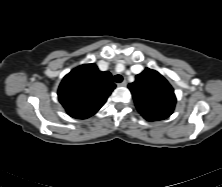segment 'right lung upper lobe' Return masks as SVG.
<instances>
[{
  "label": "right lung upper lobe",
  "instance_id": "1",
  "mask_svg": "<svg viewBox=\"0 0 222 187\" xmlns=\"http://www.w3.org/2000/svg\"><path fill=\"white\" fill-rule=\"evenodd\" d=\"M108 71L102 72L95 64H84L73 69L62 80L58 99L73 118L86 119L94 115L115 88Z\"/></svg>",
  "mask_w": 222,
  "mask_h": 187
}]
</instances>
